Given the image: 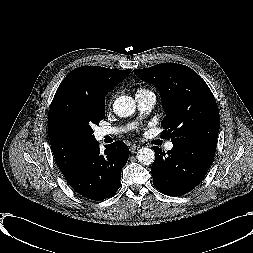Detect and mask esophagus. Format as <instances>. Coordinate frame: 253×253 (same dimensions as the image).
Returning a JSON list of instances; mask_svg holds the SVG:
<instances>
[{
    "label": "esophagus",
    "instance_id": "obj_1",
    "mask_svg": "<svg viewBox=\"0 0 253 253\" xmlns=\"http://www.w3.org/2000/svg\"><path fill=\"white\" fill-rule=\"evenodd\" d=\"M140 148L139 145L133 144L130 146V151L133 153Z\"/></svg>",
    "mask_w": 253,
    "mask_h": 253
}]
</instances>
